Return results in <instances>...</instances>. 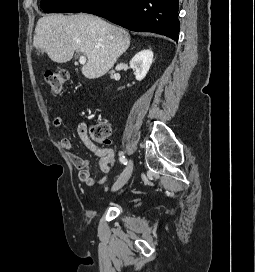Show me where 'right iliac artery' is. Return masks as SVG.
<instances>
[{"instance_id": "82829eb1", "label": "right iliac artery", "mask_w": 255, "mask_h": 272, "mask_svg": "<svg viewBox=\"0 0 255 272\" xmlns=\"http://www.w3.org/2000/svg\"><path fill=\"white\" fill-rule=\"evenodd\" d=\"M120 162L123 163L124 165L128 164V160L124 155H121L119 158Z\"/></svg>"}]
</instances>
